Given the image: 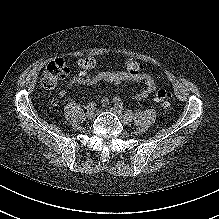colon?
Masks as SVG:
<instances>
[{
    "instance_id": "obj_1",
    "label": "colon",
    "mask_w": 219,
    "mask_h": 219,
    "mask_svg": "<svg viewBox=\"0 0 219 219\" xmlns=\"http://www.w3.org/2000/svg\"><path fill=\"white\" fill-rule=\"evenodd\" d=\"M93 66V59H85V67L91 68ZM69 72V68L62 58H56L51 61L45 68L42 78L41 86L46 90L54 89L61 80H63ZM154 98L158 102H162L164 107L170 109L172 107V95L164 90L159 89L155 92Z\"/></svg>"
}]
</instances>
